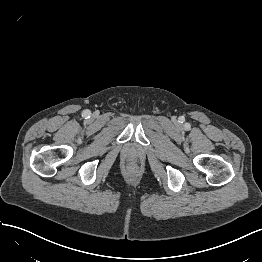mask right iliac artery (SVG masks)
Returning a JSON list of instances; mask_svg holds the SVG:
<instances>
[{
	"instance_id": "obj_1",
	"label": "right iliac artery",
	"mask_w": 262,
	"mask_h": 262,
	"mask_svg": "<svg viewBox=\"0 0 262 262\" xmlns=\"http://www.w3.org/2000/svg\"><path fill=\"white\" fill-rule=\"evenodd\" d=\"M90 114L91 112L89 110H84L82 113V116L87 119L90 117Z\"/></svg>"
}]
</instances>
